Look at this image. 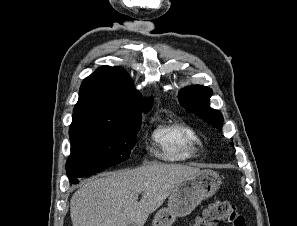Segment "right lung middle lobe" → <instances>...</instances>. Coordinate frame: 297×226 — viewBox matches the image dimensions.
<instances>
[{
  "label": "right lung middle lobe",
  "mask_w": 297,
  "mask_h": 226,
  "mask_svg": "<svg viewBox=\"0 0 297 226\" xmlns=\"http://www.w3.org/2000/svg\"><path fill=\"white\" fill-rule=\"evenodd\" d=\"M142 110L125 109L118 124L72 123L69 130L71 155L66 163L69 181L78 183V178L127 160L136 142Z\"/></svg>",
  "instance_id": "1"
}]
</instances>
